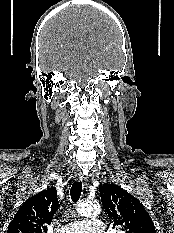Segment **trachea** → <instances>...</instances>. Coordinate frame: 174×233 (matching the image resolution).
Segmentation results:
<instances>
[{
  "instance_id": "trachea-1",
  "label": "trachea",
  "mask_w": 174,
  "mask_h": 233,
  "mask_svg": "<svg viewBox=\"0 0 174 233\" xmlns=\"http://www.w3.org/2000/svg\"><path fill=\"white\" fill-rule=\"evenodd\" d=\"M81 192H82V182L81 181L74 182L70 190L71 199L74 203H76L80 199Z\"/></svg>"
}]
</instances>
